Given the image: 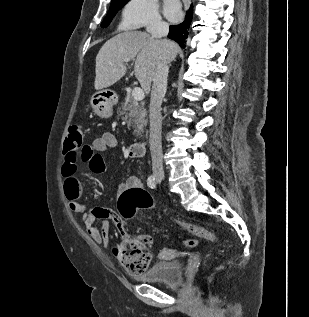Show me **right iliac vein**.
Segmentation results:
<instances>
[{"instance_id": "obj_1", "label": "right iliac vein", "mask_w": 309, "mask_h": 317, "mask_svg": "<svg viewBox=\"0 0 309 317\" xmlns=\"http://www.w3.org/2000/svg\"><path fill=\"white\" fill-rule=\"evenodd\" d=\"M154 175L157 180H164V173L162 171H155Z\"/></svg>"}]
</instances>
